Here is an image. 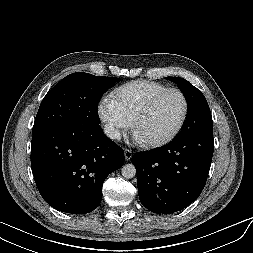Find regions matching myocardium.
Segmentation results:
<instances>
[{
	"label": "myocardium",
	"instance_id": "1",
	"mask_svg": "<svg viewBox=\"0 0 253 253\" xmlns=\"http://www.w3.org/2000/svg\"><path fill=\"white\" fill-rule=\"evenodd\" d=\"M169 93H177L178 95H180V97L182 98L183 101V112H182V116L178 122V124L176 125V127L173 129V131L171 133H169L167 136L158 139V140H153V141H147L146 142V146L148 147H152V148H158V147H162L167 145L168 143H170L171 141H173L181 132V130L183 129L185 122L187 120V116H188V111H189V103L187 100L186 95L178 88H167L159 93H157L156 95H154L143 107V109L140 111V113L137 115V117L135 118L132 126H133V132L135 133L139 126L144 122V120L148 117V115L151 113V111L153 110V108L155 107V105L158 103V101L164 97L165 95L169 94Z\"/></svg>",
	"mask_w": 253,
	"mask_h": 253
}]
</instances>
